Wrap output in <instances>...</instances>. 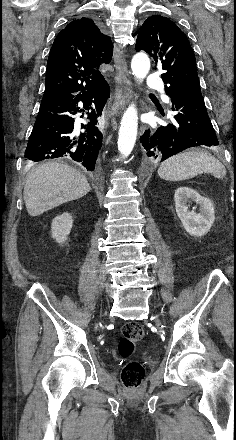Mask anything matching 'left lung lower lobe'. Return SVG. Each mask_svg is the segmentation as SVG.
Segmentation results:
<instances>
[{"mask_svg":"<svg viewBox=\"0 0 236 440\" xmlns=\"http://www.w3.org/2000/svg\"><path fill=\"white\" fill-rule=\"evenodd\" d=\"M168 95L175 115L168 125L140 137L145 155L163 161L190 147L218 145L199 84H184Z\"/></svg>","mask_w":236,"mask_h":440,"instance_id":"1","label":"left lung lower lobe"}]
</instances>
